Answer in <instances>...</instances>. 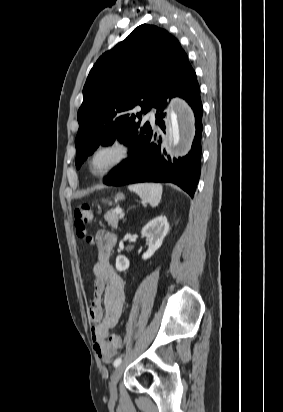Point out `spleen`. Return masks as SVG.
Returning a JSON list of instances; mask_svg holds the SVG:
<instances>
[{
	"label": "spleen",
	"mask_w": 283,
	"mask_h": 412,
	"mask_svg": "<svg viewBox=\"0 0 283 412\" xmlns=\"http://www.w3.org/2000/svg\"><path fill=\"white\" fill-rule=\"evenodd\" d=\"M128 189L139 195L143 201H147L151 207H156L161 200L163 187L157 183H139L129 185Z\"/></svg>",
	"instance_id": "3e777b00"
}]
</instances>
